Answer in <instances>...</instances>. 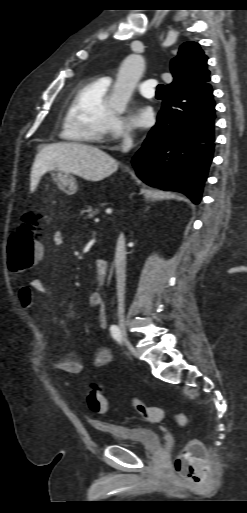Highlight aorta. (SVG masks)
<instances>
[{
	"instance_id": "762f6f07",
	"label": "aorta",
	"mask_w": 247,
	"mask_h": 513,
	"mask_svg": "<svg viewBox=\"0 0 247 513\" xmlns=\"http://www.w3.org/2000/svg\"><path fill=\"white\" fill-rule=\"evenodd\" d=\"M145 62L141 55L132 54L126 57L119 69L113 93L109 99L110 108L116 113H123L130 100L134 88L141 78Z\"/></svg>"
}]
</instances>
